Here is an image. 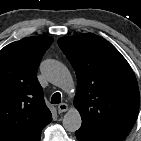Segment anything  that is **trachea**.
Masks as SVG:
<instances>
[{
    "label": "trachea",
    "instance_id": "1",
    "mask_svg": "<svg viewBox=\"0 0 141 141\" xmlns=\"http://www.w3.org/2000/svg\"><path fill=\"white\" fill-rule=\"evenodd\" d=\"M61 102V94L59 92L55 93L51 98L52 104H59Z\"/></svg>",
    "mask_w": 141,
    "mask_h": 141
}]
</instances>
